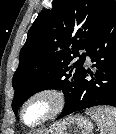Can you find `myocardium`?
<instances>
[{
    "mask_svg": "<svg viewBox=\"0 0 116 134\" xmlns=\"http://www.w3.org/2000/svg\"><path fill=\"white\" fill-rule=\"evenodd\" d=\"M44 100L48 102V111L36 122L28 123L25 120L27 108L35 101ZM65 106V96L63 92L56 88H43L32 93L20 108V121L29 128H36L55 119L63 111Z\"/></svg>",
    "mask_w": 116,
    "mask_h": 134,
    "instance_id": "obj_1",
    "label": "myocardium"
}]
</instances>
